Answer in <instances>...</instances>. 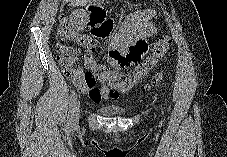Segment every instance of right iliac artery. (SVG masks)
Listing matches in <instances>:
<instances>
[{
	"mask_svg": "<svg viewBox=\"0 0 227 157\" xmlns=\"http://www.w3.org/2000/svg\"><path fill=\"white\" fill-rule=\"evenodd\" d=\"M76 100V93L75 91H72L71 96H70V109H69V114L67 117V127L70 128L72 125V120H73V113H74V104Z\"/></svg>",
	"mask_w": 227,
	"mask_h": 157,
	"instance_id": "82829eb1",
	"label": "right iliac artery"
}]
</instances>
